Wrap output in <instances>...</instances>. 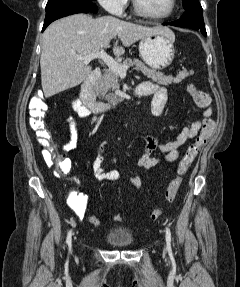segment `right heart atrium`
I'll list each match as a JSON object with an SVG mask.
<instances>
[{
  "instance_id": "right-heart-atrium-1",
  "label": "right heart atrium",
  "mask_w": 240,
  "mask_h": 287,
  "mask_svg": "<svg viewBox=\"0 0 240 287\" xmlns=\"http://www.w3.org/2000/svg\"><path fill=\"white\" fill-rule=\"evenodd\" d=\"M99 4L109 13L119 16L124 13L128 0H98Z\"/></svg>"
}]
</instances>
